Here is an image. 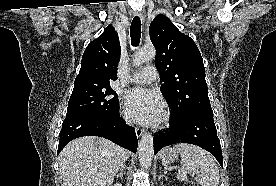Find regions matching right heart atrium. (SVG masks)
<instances>
[{
    "mask_svg": "<svg viewBox=\"0 0 276 186\" xmlns=\"http://www.w3.org/2000/svg\"><path fill=\"white\" fill-rule=\"evenodd\" d=\"M124 118H125V120H126L127 122H129V120H128V118H127L126 116H124Z\"/></svg>",
    "mask_w": 276,
    "mask_h": 186,
    "instance_id": "1",
    "label": "right heart atrium"
}]
</instances>
